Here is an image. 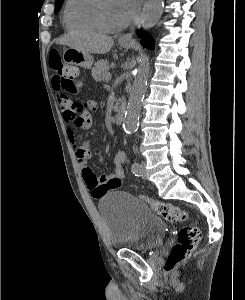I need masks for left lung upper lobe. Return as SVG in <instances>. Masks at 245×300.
Instances as JSON below:
<instances>
[{"label":"left lung upper lobe","instance_id":"left-lung-upper-lobe-1","mask_svg":"<svg viewBox=\"0 0 245 300\" xmlns=\"http://www.w3.org/2000/svg\"><path fill=\"white\" fill-rule=\"evenodd\" d=\"M64 0H56L55 12H58Z\"/></svg>","mask_w":245,"mask_h":300}]
</instances>
